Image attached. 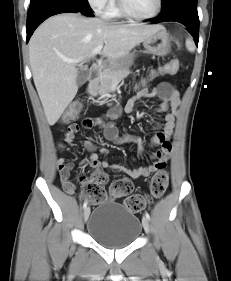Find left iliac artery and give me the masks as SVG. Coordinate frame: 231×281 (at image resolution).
Listing matches in <instances>:
<instances>
[{"instance_id": "1", "label": "left iliac artery", "mask_w": 231, "mask_h": 281, "mask_svg": "<svg viewBox=\"0 0 231 281\" xmlns=\"http://www.w3.org/2000/svg\"><path fill=\"white\" fill-rule=\"evenodd\" d=\"M145 216H146V218H147L148 220H150V215H149L148 212H145Z\"/></svg>"}]
</instances>
